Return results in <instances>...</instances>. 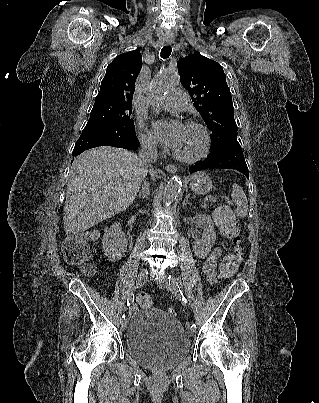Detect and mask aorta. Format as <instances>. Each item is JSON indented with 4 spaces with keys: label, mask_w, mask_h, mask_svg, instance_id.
I'll use <instances>...</instances> for the list:
<instances>
[{
    "label": "aorta",
    "mask_w": 319,
    "mask_h": 403,
    "mask_svg": "<svg viewBox=\"0 0 319 403\" xmlns=\"http://www.w3.org/2000/svg\"><path fill=\"white\" fill-rule=\"evenodd\" d=\"M179 83L178 77L167 70L160 71L152 80L150 85V93L153 98H156L169 89L177 86ZM182 182L179 176H174L166 185L163 194V202L165 205L172 204L180 195Z\"/></svg>",
    "instance_id": "1"
}]
</instances>
